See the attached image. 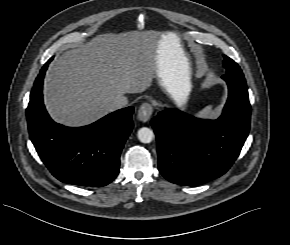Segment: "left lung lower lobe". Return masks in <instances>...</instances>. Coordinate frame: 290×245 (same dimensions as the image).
Returning a JSON list of instances; mask_svg holds the SVG:
<instances>
[{"label": "left lung lower lobe", "instance_id": "obj_1", "mask_svg": "<svg viewBox=\"0 0 290 245\" xmlns=\"http://www.w3.org/2000/svg\"><path fill=\"white\" fill-rule=\"evenodd\" d=\"M228 100L217 120L169 108L151 121L158 143V168L170 182L195 186L223 175L248 136L251 106L243 74L226 73Z\"/></svg>", "mask_w": 290, "mask_h": 245}]
</instances>
